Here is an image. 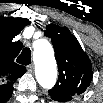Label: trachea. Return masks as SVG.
<instances>
[{"mask_svg": "<svg viewBox=\"0 0 103 103\" xmlns=\"http://www.w3.org/2000/svg\"><path fill=\"white\" fill-rule=\"evenodd\" d=\"M17 62L22 65H29L31 63V51L29 48L23 49L17 58Z\"/></svg>", "mask_w": 103, "mask_h": 103, "instance_id": "1", "label": "trachea"}]
</instances>
